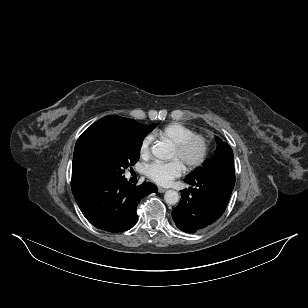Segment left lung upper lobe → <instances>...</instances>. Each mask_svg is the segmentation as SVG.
I'll use <instances>...</instances> for the list:
<instances>
[{"instance_id": "1", "label": "left lung upper lobe", "mask_w": 308, "mask_h": 308, "mask_svg": "<svg viewBox=\"0 0 308 308\" xmlns=\"http://www.w3.org/2000/svg\"><path fill=\"white\" fill-rule=\"evenodd\" d=\"M216 143H217V149L213 156L208 158L204 164L203 167L197 168L193 173H191L188 177H192L194 175H197L202 170L211 167L215 164H218L220 162L225 161H231L233 162V151L230 147V145L226 142H223L220 138L216 137Z\"/></svg>"}]
</instances>
